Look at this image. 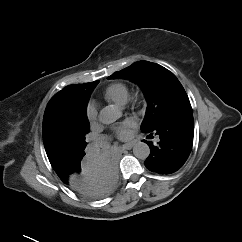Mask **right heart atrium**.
<instances>
[{
    "label": "right heart atrium",
    "instance_id": "d8ad5b80",
    "mask_svg": "<svg viewBox=\"0 0 242 242\" xmlns=\"http://www.w3.org/2000/svg\"><path fill=\"white\" fill-rule=\"evenodd\" d=\"M85 113H86V117H87V119H88V121H89L90 123H93V122L96 121V119H97V115H98V111H97V109H96V107H95L94 104L89 103V104L86 106V111H85Z\"/></svg>",
    "mask_w": 242,
    "mask_h": 242
}]
</instances>
